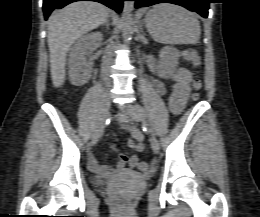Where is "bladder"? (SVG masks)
I'll return each instance as SVG.
<instances>
[{"label":"bladder","mask_w":260,"mask_h":217,"mask_svg":"<svg viewBox=\"0 0 260 217\" xmlns=\"http://www.w3.org/2000/svg\"><path fill=\"white\" fill-rule=\"evenodd\" d=\"M130 178H139V175L136 172H125Z\"/></svg>","instance_id":"1"}]
</instances>
